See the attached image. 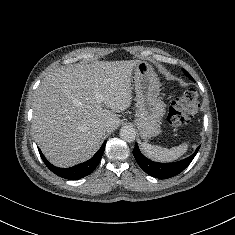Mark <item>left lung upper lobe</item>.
I'll list each match as a JSON object with an SVG mask.
<instances>
[{"mask_svg": "<svg viewBox=\"0 0 235 235\" xmlns=\"http://www.w3.org/2000/svg\"><path fill=\"white\" fill-rule=\"evenodd\" d=\"M184 73L188 76L189 79L193 80V78L191 77V75H190L186 70H184Z\"/></svg>", "mask_w": 235, "mask_h": 235, "instance_id": "left-lung-upper-lobe-1", "label": "left lung upper lobe"}]
</instances>
